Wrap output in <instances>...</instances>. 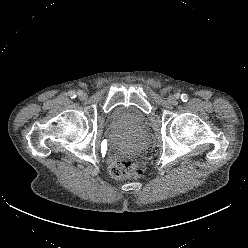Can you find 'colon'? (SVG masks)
<instances>
[{"mask_svg": "<svg viewBox=\"0 0 248 248\" xmlns=\"http://www.w3.org/2000/svg\"><path fill=\"white\" fill-rule=\"evenodd\" d=\"M144 163L137 156H125L110 166V173L116 179H136L143 175Z\"/></svg>", "mask_w": 248, "mask_h": 248, "instance_id": "colon-1", "label": "colon"}]
</instances>
